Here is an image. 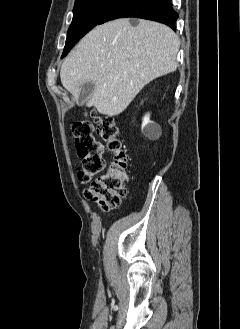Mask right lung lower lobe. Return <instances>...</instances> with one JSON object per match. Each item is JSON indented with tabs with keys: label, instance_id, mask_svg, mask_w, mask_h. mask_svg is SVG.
I'll list each match as a JSON object with an SVG mask.
<instances>
[{
	"label": "right lung lower lobe",
	"instance_id": "1",
	"mask_svg": "<svg viewBox=\"0 0 240 329\" xmlns=\"http://www.w3.org/2000/svg\"><path fill=\"white\" fill-rule=\"evenodd\" d=\"M126 17L153 20L168 25L175 30L178 13L171 5V0H121L99 22Z\"/></svg>",
	"mask_w": 240,
	"mask_h": 329
}]
</instances>
